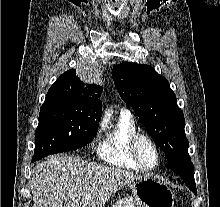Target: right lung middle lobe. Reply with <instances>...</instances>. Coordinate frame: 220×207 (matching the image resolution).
I'll list each match as a JSON object with an SVG mask.
<instances>
[{
  "mask_svg": "<svg viewBox=\"0 0 220 207\" xmlns=\"http://www.w3.org/2000/svg\"><path fill=\"white\" fill-rule=\"evenodd\" d=\"M101 115L75 97L47 95L35 130L33 158L84 147L95 137Z\"/></svg>",
  "mask_w": 220,
  "mask_h": 207,
  "instance_id": "dd1d6c3e",
  "label": "right lung middle lobe"
}]
</instances>
